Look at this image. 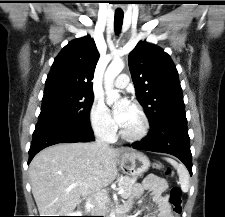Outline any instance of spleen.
Masks as SVG:
<instances>
[{"label":"spleen","instance_id":"3e777b00","mask_svg":"<svg viewBox=\"0 0 225 217\" xmlns=\"http://www.w3.org/2000/svg\"><path fill=\"white\" fill-rule=\"evenodd\" d=\"M176 170L179 176V183L183 192H187L189 189V173L183 164L178 163L177 161L171 158H165Z\"/></svg>","mask_w":225,"mask_h":217}]
</instances>
